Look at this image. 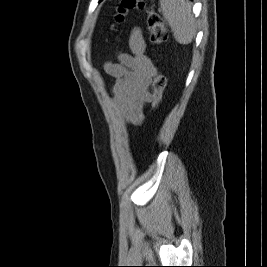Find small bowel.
<instances>
[{
    "mask_svg": "<svg viewBox=\"0 0 267 267\" xmlns=\"http://www.w3.org/2000/svg\"><path fill=\"white\" fill-rule=\"evenodd\" d=\"M129 48L130 53L120 54L117 63H105L104 69L115 79L112 96L116 110L127 123L139 125L145 106L152 100L148 88L156 67L145 53L146 43L139 28L132 30Z\"/></svg>",
    "mask_w": 267,
    "mask_h": 267,
    "instance_id": "small-bowel-1",
    "label": "small bowel"
}]
</instances>
